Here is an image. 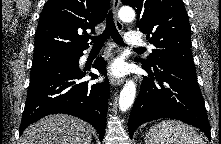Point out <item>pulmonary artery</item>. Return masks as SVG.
<instances>
[{
  "mask_svg": "<svg viewBox=\"0 0 221 144\" xmlns=\"http://www.w3.org/2000/svg\"><path fill=\"white\" fill-rule=\"evenodd\" d=\"M125 41L127 44L131 46H144L146 43L143 41L141 36L137 32H128L125 35ZM150 49H152V46H148Z\"/></svg>",
  "mask_w": 221,
  "mask_h": 144,
  "instance_id": "pulmonary-artery-1",
  "label": "pulmonary artery"
}]
</instances>
